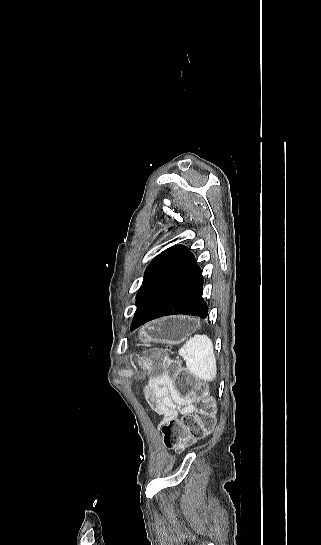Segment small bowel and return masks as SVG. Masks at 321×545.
<instances>
[{
    "instance_id": "small-bowel-1",
    "label": "small bowel",
    "mask_w": 321,
    "mask_h": 545,
    "mask_svg": "<svg viewBox=\"0 0 321 545\" xmlns=\"http://www.w3.org/2000/svg\"><path fill=\"white\" fill-rule=\"evenodd\" d=\"M145 394L149 405L163 417L160 425L175 419L179 414L187 415L194 411L193 399L176 393L167 377L150 378Z\"/></svg>"
}]
</instances>
